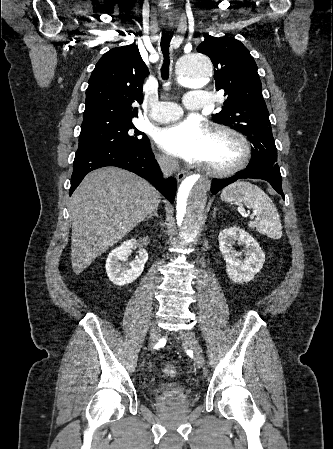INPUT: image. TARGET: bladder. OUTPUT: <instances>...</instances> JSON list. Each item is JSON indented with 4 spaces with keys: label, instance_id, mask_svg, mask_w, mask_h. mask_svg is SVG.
I'll return each instance as SVG.
<instances>
[{
    "label": "bladder",
    "instance_id": "obj_1",
    "mask_svg": "<svg viewBox=\"0 0 333 449\" xmlns=\"http://www.w3.org/2000/svg\"><path fill=\"white\" fill-rule=\"evenodd\" d=\"M151 398L154 401H162L170 398L189 400L190 390L180 382H165L150 390Z\"/></svg>",
    "mask_w": 333,
    "mask_h": 449
}]
</instances>
